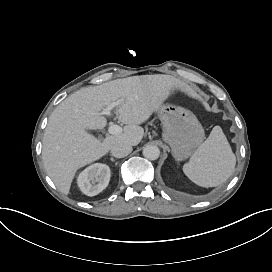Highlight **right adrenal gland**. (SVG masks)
I'll return each mask as SVG.
<instances>
[{
    "mask_svg": "<svg viewBox=\"0 0 272 272\" xmlns=\"http://www.w3.org/2000/svg\"><path fill=\"white\" fill-rule=\"evenodd\" d=\"M110 160H111L112 162H114V161H115V159H114V158H110Z\"/></svg>",
    "mask_w": 272,
    "mask_h": 272,
    "instance_id": "obj_1",
    "label": "right adrenal gland"
}]
</instances>
